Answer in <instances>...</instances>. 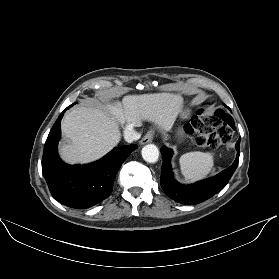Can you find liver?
Returning a JSON list of instances; mask_svg holds the SVG:
<instances>
[{"label":"liver","mask_w":279,"mask_h":279,"mask_svg":"<svg viewBox=\"0 0 279 279\" xmlns=\"http://www.w3.org/2000/svg\"><path fill=\"white\" fill-rule=\"evenodd\" d=\"M182 108L181 95L170 93L128 95L122 102L77 107L62 121V132L70 143L60 147V156L70 164L95 161L119 143V124L140 126L146 120L169 131Z\"/></svg>","instance_id":"1"}]
</instances>
